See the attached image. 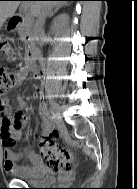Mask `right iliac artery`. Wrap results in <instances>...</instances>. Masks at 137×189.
Masks as SVG:
<instances>
[{
  "mask_svg": "<svg viewBox=\"0 0 137 189\" xmlns=\"http://www.w3.org/2000/svg\"><path fill=\"white\" fill-rule=\"evenodd\" d=\"M39 112L44 118H48L49 122H52V113L46 107H40Z\"/></svg>",
  "mask_w": 137,
  "mask_h": 189,
  "instance_id": "82829eb1",
  "label": "right iliac artery"
}]
</instances>
